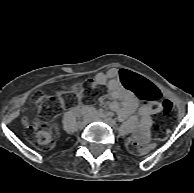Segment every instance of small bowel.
Segmentation results:
<instances>
[{"label":"small bowel","mask_w":194,"mask_h":193,"mask_svg":"<svg viewBox=\"0 0 194 193\" xmlns=\"http://www.w3.org/2000/svg\"><path fill=\"white\" fill-rule=\"evenodd\" d=\"M94 81L97 85L107 88V94L113 100L110 107L116 113L117 117L120 120L129 119L132 124H135V138L140 142L146 143L149 140L151 115L153 113V108L151 105L145 103L138 107L137 95L122 84L119 78L118 69L112 68L107 72L98 73L94 77ZM152 86L154 87L155 91L159 93L158 89L153 84ZM136 109L140 117L139 122H137L134 117H131V114Z\"/></svg>","instance_id":"1"}]
</instances>
